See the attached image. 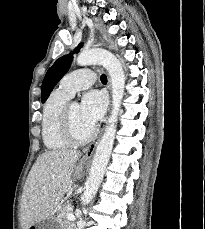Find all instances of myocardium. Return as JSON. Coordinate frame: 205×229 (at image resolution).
Masks as SVG:
<instances>
[{
	"mask_svg": "<svg viewBox=\"0 0 205 229\" xmlns=\"http://www.w3.org/2000/svg\"><path fill=\"white\" fill-rule=\"evenodd\" d=\"M74 102H67L61 112L60 133L70 145H83L88 143L96 134V128L92 127L91 131L84 137L76 135L70 113V107Z\"/></svg>",
	"mask_w": 205,
	"mask_h": 229,
	"instance_id": "myocardium-1",
	"label": "myocardium"
}]
</instances>
